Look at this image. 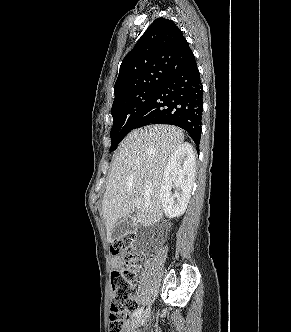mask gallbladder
Returning a JSON list of instances; mask_svg holds the SVG:
<instances>
[{"instance_id":"bac80fb5","label":"gallbladder","mask_w":291,"mask_h":332,"mask_svg":"<svg viewBox=\"0 0 291 332\" xmlns=\"http://www.w3.org/2000/svg\"><path fill=\"white\" fill-rule=\"evenodd\" d=\"M136 230V227L133 225L131 218H122L120 219L112 229V239L118 240L125 235L132 234Z\"/></svg>"}]
</instances>
